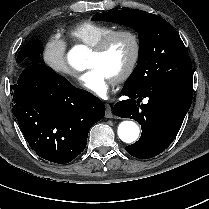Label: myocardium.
Returning a JSON list of instances; mask_svg holds the SVG:
<instances>
[{
    "instance_id": "obj_1",
    "label": "myocardium",
    "mask_w": 209,
    "mask_h": 209,
    "mask_svg": "<svg viewBox=\"0 0 209 209\" xmlns=\"http://www.w3.org/2000/svg\"><path fill=\"white\" fill-rule=\"evenodd\" d=\"M121 36L127 37L131 40L133 45V51L129 62L116 78V82L118 83L126 81L131 76L140 59L142 44L139 35L130 29L114 30L91 48V52L95 55H104L113 43V41Z\"/></svg>"
}]
</instances>
